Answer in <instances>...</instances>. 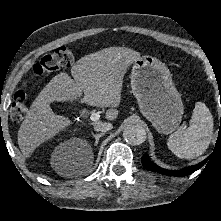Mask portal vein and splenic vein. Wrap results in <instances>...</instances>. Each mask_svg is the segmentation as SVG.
Returning <instances> with one entry per match:
<instances>
[{
  "label": "portal vein and splenic vein",
  "mask_w": 221,
  "mask_h": 221,
  "mask_svg": "<svg viewBox=\"0 0 221 221\" xmlns=\"http://www.w3.org/2000/svg\"><path fill=\"white\" fill-rule=\"evenodd\" d=\"M100 118V114L98 112H93L91 115H90V120L91 121H97L99 120Z\"/></svg>",
  "instance_id": "18ae733b"
}]
</instances>
